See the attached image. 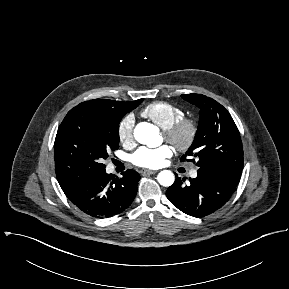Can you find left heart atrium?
Wrapping results in <instances>:
<instances>
[{
    "instance_id": "left-heart-atrium-1",
    "label": "left heart atrium",
    "mask_w": 289,
    "mask_h": 289,
    "mask_svg": "<svg viewBox=\"0 0 289 289\" xmlns=\"http://www.w3.org/2000/svg\"><path fill=\"white\" fill-rule=\"evenodd\" d=\"M172 155V149L168 145L157 148L141 147L131 156V162L142 168H158Z\"/></svg>"
}]
</instances>
